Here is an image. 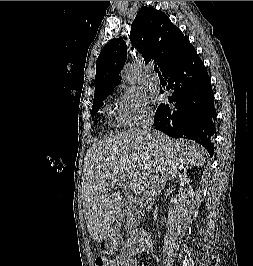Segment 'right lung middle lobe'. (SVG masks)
<instances>
[{
    "instance_id": "dd1d6c3e",
    "label": "right lung middle lobe",
    "mask_w": 253,
    "mask_h": 266,
    "mask_svg": "<svg viewBox=\"0 0 253 266\" xmlns=\"http://www.w3.org/2000/svg\"><path fill=\"white\" fill-rule=\"evenodd\" d=\"M110 94V93H109ZM109 94H104L98 98H96L94 101H93V106H92V111H91V116H92V119L94 118V116L96 115V113L98 112L100 106L102 105V102L107 98V96Z\"/></svg>"
}]
</instances>
